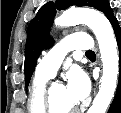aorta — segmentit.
I'll list each match as a JSON object with an SVG mask.
<instances>
[{
	"instance_id": "obj_1",
	"label": "aorta",
	"mask_w": 121,
	"mask_h": 113,
	"mask_svg": "<svg viewBox=\"0 0 121 113\" xmlns=\"http://www.w3.org/2000/svg\"><path fill=\"white\" fill-rule=\"evenodd\" d=\"M85 23L95 34L103 64L99 91L87 113H105L116 90L119 74V55L113 28L100 12L77 8L65 11L55 20L56 26H72Z\"/></svg>"
}]
</instances>
